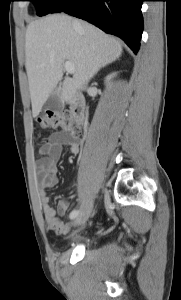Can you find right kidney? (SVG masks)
<instances>
[{
  "mask_svg": "<svg viewBox=\"0 0 181 300\" xmlns=\"http://www.w3.org/2000/svg\"><path fill=\"white\" fill-rule=\"evenodd\" d=\"M115 76H117V72L111 73L109 74L106 78H105V83L106 85L110 86V81L111 79H113Z\"/></svg>",
  "mask_w": 181,
  "mask_h": 300,
  "instance_id": "right-kidney-1",
  "label": "right kidney"
}]
</instances>
